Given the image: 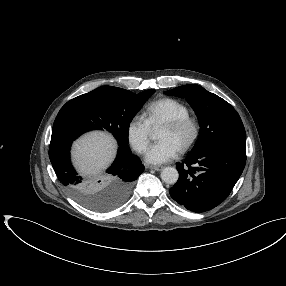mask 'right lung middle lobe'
<instances>
[{
  "label": "right lung middle lobe",
  "instance_id": "dd1d6c3e",
  "mask_svg": "<svg viewBox=\"0 0 286 286\" xmlns=\"http://www.w3.org/2000/svg\"><path fill=\"white\" fill-rule=\"evenodd\" d=\"M155 90L139 94L131 91L102 86L68 101L59 111L54 124H58L76 136L95 129H106L118 141L119 147H128V129L135 114L142 108ZM96 189L79 201L94 211H107L124 201L128 194L124 186L113 194H103Z\"/></svg>",
  "mask_w": 286,
  "mask_h": 286
}]
</instances>
